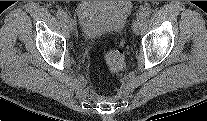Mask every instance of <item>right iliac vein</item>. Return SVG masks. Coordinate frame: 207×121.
Segmentation results:
<instances>
[{
  "label": "right iliac vein",
  "instance_id": "63e3f726",
  "mask_svg": "<svg viewBox=\"0 0 207 121\" xmlns=\"http://www.w3.org/2000/svg\"><path fill=\"white\" fill-rule=\"evenodd\" d=\"M64 21L67 24V26L69 27V29L71 31H73L74 28H75V24H74L73 19L71 17H69V16H66L65 19H64Z\"/></svg>",
  "mask_w": 207,
  "mask_h": 121
}]
</instances>
